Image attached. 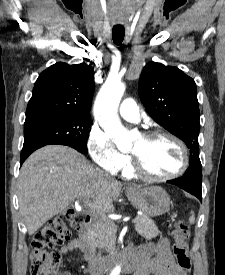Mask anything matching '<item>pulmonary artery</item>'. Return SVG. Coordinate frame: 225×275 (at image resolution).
I'll return each mask as SVG.
<instances>
[{"label": "pulmonary artery", "instance_id": "obj_1", "mask_svg": "<svg viewBox=\"0 0 225 275\" xmlns=\"http://www.w3.org/2000/svg\"><path fill=\"white\" fill-rule=\"evenodd\" d=\"M120 115L131 122H138L140 119L139 107L133 98H126L119 107Z\"/></svg>", "mask_w": 225, "mask_h": 275}]
</instances>
